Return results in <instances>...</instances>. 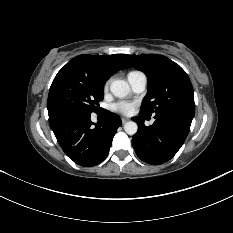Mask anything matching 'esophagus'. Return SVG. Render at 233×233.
<instances>
[{"label":"esophagus","instance_id":"obj_1","mask_svg":"<svg viewBox=\"0 0 233 233\" xmlns=\"http://www.w3.org/2000/svg\"><path fill=\"white\" fill-rule=\"evenodd\" d=\"M129 119L128 118H125V117H122L121 118V121H122V124L126 123Z\"/></svg>","mask_w":233,"mask_h":233}]
</instances>
